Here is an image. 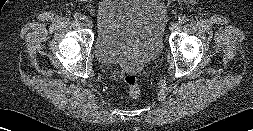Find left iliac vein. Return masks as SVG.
<instances>
[{"instance_id":"4c4485c4","label":"left iliac vein","mask_w":253,"mask_h":131,"mask_svg":"<svg viewBox=\"0 0 253 131\" xmlns=\"http://www.w3.org/2000/svg\"><path fill=\"white\" fill-rule=\"evenodd\" d=\"M179 25V22L177 21H173L171 24H170V30H175Z\"/></svg>"}]
</instances>
